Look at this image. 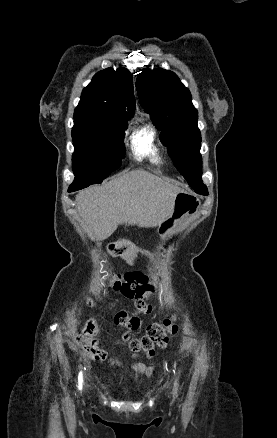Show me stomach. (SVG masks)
Segmentation results:
<instances>
[{
  "label": "stomach",
  "mask_w": 277,
  "mask_h": 438,
  "mask_svg": "<svg viewBox=\"0 0 277 438\" xmlns=\"http://www.w3.org/2000/svg\"><path fill=\"white\" fill-rule=\"evenodd\" d=\"M199 199L186 191L179 192L174 197V204L170 216L159 225V235L165 241L174 232L182 220L194 215L200 209Z\"/></svg>",
  "instance_id": "obj_1"
}]
</instances>
